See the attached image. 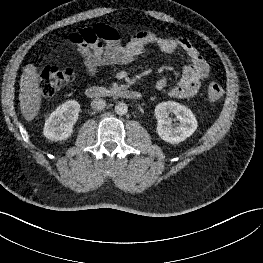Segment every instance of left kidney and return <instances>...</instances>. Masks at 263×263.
Returning a JSON list of instances; mask_svg holds the SVG:
<instances>
[{"instance_id":"1","label":"left kidney","mask_w":263,"mask_h":263,"mask_svg":"<svg viewBox=\"0 0 263 263\" xmlns=\"http://www.w3.org/2000/svg\"><path fill=\"white\" fill-rule=\"evenodd\" d=\"M176 115L179 124L173 127L169 113ZM157 119L156 131L159 137L165 142L177 144L190 137L197 129L198 123L193 112L174 101H167L158 104L155 108Z\"/></svg>"}]
</instances>
